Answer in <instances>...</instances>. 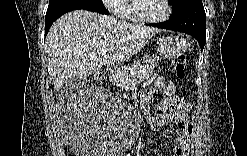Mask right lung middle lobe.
<instances>
[{
    "label": "right lung middle lobe",
    "mask_w": 247,
    "mask_h": 156,
    "mask_svg": "<svg viewBox=\"0 0 247 156\" xmlns=\"http://www.w3.org/2000/svg\"><path fill=\"white\" fill-rule=\"evenodd\" d=\"M63 5H103L102 0H50L47 11Z\"/></svg>",
    "instance_id": "1"
}]
</instances>
